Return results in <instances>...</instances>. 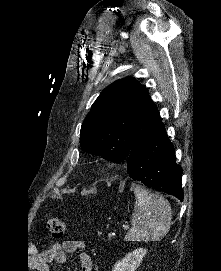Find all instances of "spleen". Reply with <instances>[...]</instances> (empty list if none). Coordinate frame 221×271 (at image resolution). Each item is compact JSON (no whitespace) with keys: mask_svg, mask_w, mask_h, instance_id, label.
<instances>
[{"mask_svg":"<svg viewBox=\"0 0 221 271\" xmlns=\"http://www.w3.org/2000/svg\"><path fill=\"white\" fill-rule=\"evenodd\" d=\"M136 201L132 213V227L126 241H160L171 225V205L163 195L150 193L143 187L134 189Z\"/></svg>","mask_w":221,"mask_h":271,"instance_id":"1","label":"spleen"}]
</instances>
